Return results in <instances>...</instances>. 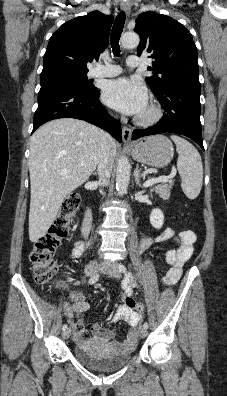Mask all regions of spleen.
<instances>
[{"instance_id":"obj_1","label":"spleen","mask_w":227,"mask_h":396,"mask_svg":"<svg viewBox=\"0 0 227 396\" xmlns=\"http://www.w3.org/2000/svg\"><path fill=\"white\" fill-rule=\"evenodd\" d=\"M171 139L178 152L177 169L181 177V187L189 199H195L202 188L203 166L197 149L187 140L176 135Z\"/></svg>"}]
</instances>
